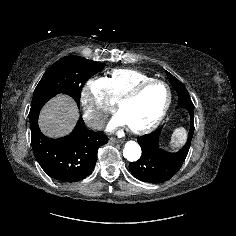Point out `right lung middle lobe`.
Listing matches in <instances>:
<instances>
[{
  "label": "right lung middle lobe",
  "mask_w": 236,
  "mask_h": 236,
  "mask_svg": "<svg viewBox=\"0 0 236 236\" xmlns=\"http://www.w3.org/2000/svg\"><path fill=\"white\" fill-rule=\"evenodd\" d=\"M104 64L79 56H65L55 62L35 88L30 113L41 110L57 94L71 96L80 107L81 90L85 82L98 73Z\"/></svg>",
  "instance_id": "right-lung-middle-lobe-1"
}]
</instances>
